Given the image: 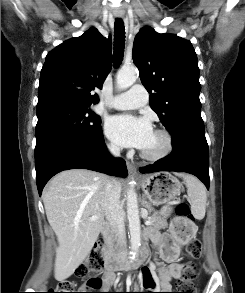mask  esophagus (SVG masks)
<instances>
[{"label":"esophagus","instance_id":"34e87169","mask_svg":"<svg viewBox=\"0 0 245 293\" xmlns=\"http://www.w3.org/2000/svg\"><path fill=\"white\" fill-rule=\"evenodd\" d=\"M126 164H127V169L129 171V173L131 175H137V167L129 161H127Z\"/></svg>","mask_w":245,"mask_h":293}]
</instances>
